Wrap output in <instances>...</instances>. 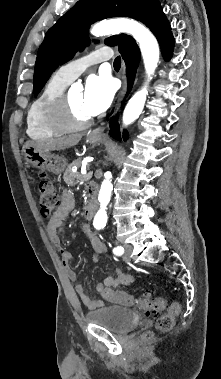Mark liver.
Wrapping results in <instances>:
<instances>
[{
	"mask_svg": "<svg viewBox=\"0 0 221 379\" xmlns=\"http://www.w3.org/2000/svg\"><path fill=\"white\" fill-rule=\"evenodd\" d=\"M81 134H72L68 136L52 138L42 141H27L23 146V152L29 146L44 150V151H54V150H64L66 148L75 146L81 140Z\"/></svg>",
	"mask_w": 221,
	"mask_h": 379,
	"instance_id": "obj_1",
	"label": "liver"
}]
</instances>
